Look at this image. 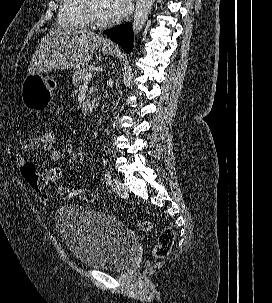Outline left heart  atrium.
<instances>
[{"mask_svg":"<svg viewBox=\"0 0 272 303\" xmlns=\"http://www.w3.org/2000/svg\"><path fill=\"white\" fill-rule=\"evenodd\" d=\"M130 0H104V15L106 20L118 21L128 12Z\"/></svg>","mask_w":272,"mask_h":303,"instance_id":"1","label":"left heart atrium"}]
</instances>
